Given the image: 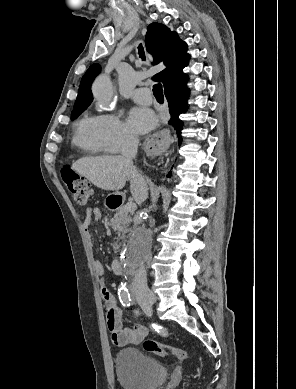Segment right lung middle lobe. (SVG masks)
Wrapping results in <instances>:
<instances>
[{"label": "right lung middle lobe", "instance_id": "dd1d6c3e", "mask_svg": "<svg viewBox=\"0 0 296 389\" xmlns=\"http://www.w3.org/2000/svg\"><path fill=\"white\" fill-rule=\"evenodd\" d=\"M86 108L87 107H83V108H79V109L74 110L71 113V119H75L76 117H78Z\"/></svg>", "mask_w": 296, "mask_h": 389}]
</instances>
